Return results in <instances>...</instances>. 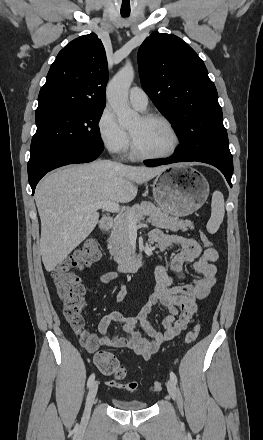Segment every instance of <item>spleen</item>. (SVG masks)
<instances>
[{
	"instance_id": "obj_1",
	"label": "spleen",
	"mask_w": 263,
	"mask_h": 440,
	"mask_svg": "<svg viewBox=\"0 0 263 440\" xmlns=\"http://www.w3.org/2000/svg\"><path fill=\"white\" fill-rule=\"evenodd\" d=\"M224 196L220 191H215L212 195L211 217L207 223V231L214 234L218 231L223 222L225 207Z\"/></svg>"
}]
</instances>
